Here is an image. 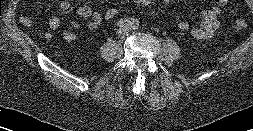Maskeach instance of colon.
<instances>
[{
  "instance_id": "1",
  "label": "colon",
  "mask_w": 253,
  "mask_h": 131,
  "mask_svg": "<svg viewBox=\"0 0 253 131\" xmlns=\"http://www.w3.org/2000/svg\"><path fill=\"white\" fill-rule=\"evenodd\" d=\"M133 3L137 5L150 6L155 0H131ZM125 3L117 2L112 6L108 7L103 12V17L105 21L113 22L118 19L125 10ZM247 27V20L244 16H239L233 23V28L235 30H243Z\"/></svg>"
}]
</instances>
